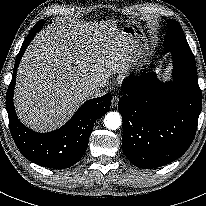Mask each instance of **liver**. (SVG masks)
<instances>
[{"label": "liver", "mask_w": 206, "mask_h": 206, "mask_svg": "<svg viewBox=\"0 0 206 206\" xmlns=\"http://www.w3.org/2000/svg\"><path fill=\"white\" fill-rule=\"evenodd\" d=\"M135 40L113 23L68 20L35 36L17 71L14 104L37 131L63 125L89 96L138 57Z\"/></svg>", "instance_id": "1"}]
</instances>
